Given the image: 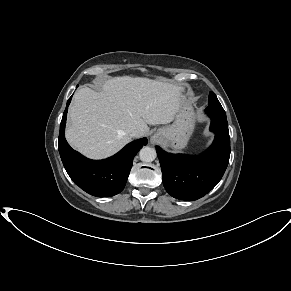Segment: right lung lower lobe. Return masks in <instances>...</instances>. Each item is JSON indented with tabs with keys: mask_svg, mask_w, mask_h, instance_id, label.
I'll return each instance as SVG.
<instances>
[{
	"mask_svg": "<svg viewBox=\"0 0 291 291\" xmlns=\"http://www.w3.org/2000/svg\"><path fill=\"white\" fill-rule=\"evenodd\" d=\"M67 102L60 124L58 150L70 178L85 192L96 197H111L120 193L128 179L134 156L147 139L135 140L120 152L104 160H90L73 150L67 143L64 131L68 106Z\"/></svg>",
	"mask_w": 291,
	"mask_h": 291,
	"instance_id": "right-lung-lower-lobe-1",
	"label": "right lung lower lobe"
}]
</instances>
